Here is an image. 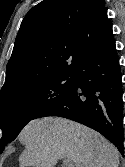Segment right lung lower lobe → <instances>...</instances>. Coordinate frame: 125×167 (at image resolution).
Here are the masks:
<instances>
[{"label":"right lung lower lobe","instance_id":"obj_1","mask_svg":"<svg viewBox=\"0 0 125 167\" xmlns=\"http://www.w3.org/2000/svg\"><path fill=\"white\" fill-rule=\"evenodd\" d=\"M74 74V84L33 119L59 116L82 123L101 133L123 155L122 76L112 26L85 53Z\"/></svg>","mask_w":125,"mask_h":167}]
</instances>
